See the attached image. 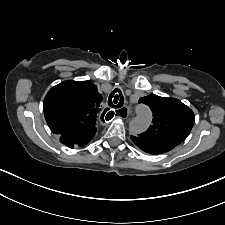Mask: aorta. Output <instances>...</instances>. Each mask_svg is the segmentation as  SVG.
Instances as JSON below:
<instances>
[{"label":"aorta","instance_id":"obj_1","mask_svg":"<svg viewBox=\"0 0 225 225\" xmlns=\"http://www.w3.org/2000/svg\"><path fill=\"white\" fill-rule=\"evenodd\" d=\"M134 109L136 111V117L129 123V132L131 134H140L146 131L151 124L152 114L150 109L143 104L135 105Z\"/></svg>","mask_w":225,"mask_h":225}]
</instances>
